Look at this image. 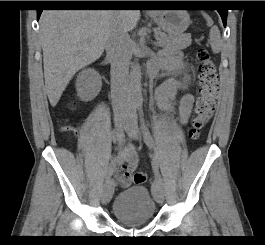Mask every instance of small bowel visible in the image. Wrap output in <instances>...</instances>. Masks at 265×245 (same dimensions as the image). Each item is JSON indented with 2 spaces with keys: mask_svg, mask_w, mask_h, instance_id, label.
<instances>
[{
  "mask_svg": "<svg viewBox=\"0 0 265 245\" xmlns=\"http://www.w3.org/2000/svg\"><path fill=\"white\" fill-rule=\"evenodd\" d=\"M149 68L161 69L168 74L167 80L156 91V103L159 109L166 114H172L177 106L179 120L182 124H186L194 106V96L183 92L186 84L180 78L187 76L188 65L181 60L179 55L173 54L153 60L149 64ZM137 165L136 148L133 145H128L120 150L117 158L113 161L109 174L115 177L121 186L128 187L132 184Z\"/></svg>",
  "mask_w": 265,
  "mask_h": 245,
  "instance_id": "c3829d8e",
  "label": "small bowel"
}]
</instances>
